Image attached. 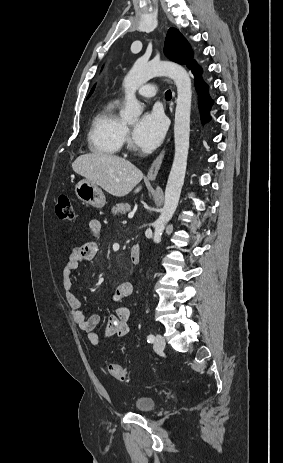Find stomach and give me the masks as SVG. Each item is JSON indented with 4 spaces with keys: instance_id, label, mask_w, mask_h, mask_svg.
<instances>
[{
    "instance_id": "0dacf381",
    "label": "stomach",
    "mask_w": 283,
    "mask_h": 463,
    "mask_svg": "<svg viewBox=\"0 0 283 463\" xmlns=\"http://www.w3.org/2000/svg\"><path fill=\"white\" fill-rule=\"evenodd\" d=\"M75 193L82 202L95 208H102L105 203V195L97 184L83 179L75 186Z\"/></svg>"
}]
</instances>
